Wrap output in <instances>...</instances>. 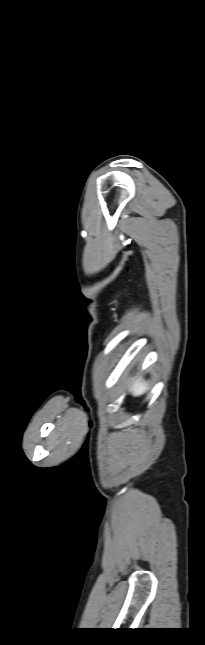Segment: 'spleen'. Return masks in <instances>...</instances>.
Listing matches in <instances>:
<instances>
[{"label":"spleen","mask_w":205,"mask_h":645,"mask_svg":"<svg viewBox=\"0 0 205 645\" xmlns=\"http://www.w3.org/2000/svg\"><path fill=\"white\" fill-rule=\"evenodd\" d=\"M147 389H148V384L143 380H141V378H139L133 383L131 387V392L133 396H140L144 394L147 391Z\"/></svg>","instance_id":"1"}]
</instances>
